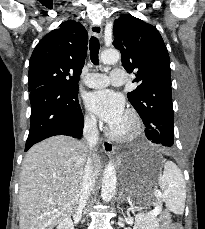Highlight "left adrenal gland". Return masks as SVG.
<instances>
[{
  "mask_svg": "<svg viewBox=\"0 0 205 229\" xmlns=\"http://www.w3.org/2000/svg\"><path fill=\"white\" fill-rule=\"evenodd\" d=\"M119 200H120V202H123L125 200V195L123 193V189L120 191Z\"/></svg>",
  "mask_w": 205,
  "mask_h": 229,
  "instance_id": "a2214340",
  "label": "left adrenal gland"
}]
</instances>
